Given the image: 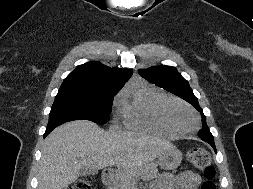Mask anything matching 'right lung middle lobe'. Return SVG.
Returning <instances> with one entry per match:
<instances>
[{"mask_svg":"<svg viewBox=\"0 0 253 189\" xmlns=\"http://www.w3.org/2000/svg\"><path fill=\"white\" fill-rule=\"evenodd\" d=\"M114 89H59L49 114L48 126L73 120H90L104 124L109 119Z\"/></svg>","mask_w":253,"mask_h":189,"instance_id":"obj_1","label":"right lung middle lobe"}]
</instances>
